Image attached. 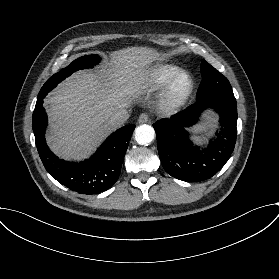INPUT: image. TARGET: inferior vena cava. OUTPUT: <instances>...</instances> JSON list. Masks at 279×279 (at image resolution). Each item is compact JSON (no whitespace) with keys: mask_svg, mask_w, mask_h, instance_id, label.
Returning a JSON list of instances; mask_svg holds the SVG:
<instances>
[{"mask_svg":"<svg viewBox=\"0 0 279 279\" xmlns=\"http://www.w3.org/2000/svg\"><path fill=\"white\" fill-rule=\"evenodd\" d=\"M128 119H129V111L126 110L125 108H120L112 112L108 124L111 127H119Z\"/></svg>","mask_w":279,"mask_h":279,"instance_id":"inferior-vena-cava-1","label":"inferior vena cava"}]
</instances>
